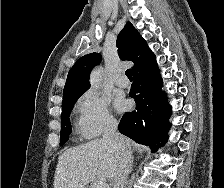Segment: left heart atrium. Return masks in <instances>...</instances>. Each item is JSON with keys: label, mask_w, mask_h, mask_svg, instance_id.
Masks as SVG:
<instances>
[{"label": "left heart atrium", "mask_w": 224, "mask_h": 188, "mask_svg": "<svg viewBox=\"0 0 224 188\" xmlns=\"http://www.w3.org/2000/svg\"><path fill=\"white\" fill-rule=\"evenodd\" d=\"M115 106H116V109L118 111H125L128 109L129 107V103L126 99H124L123 97H118L116 100H115Z\"/></svg>", "instance_id": "obj_1"}]
</instances>
